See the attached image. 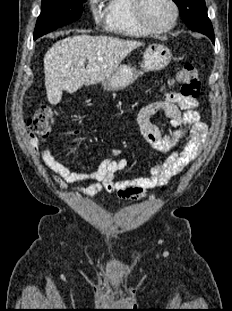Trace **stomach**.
<instances>
[{"label":"stomach","mask_w":232,"mask_h":311,"mask_svg":"<svg viewBox=\"0 0 232 311\" xmlns=\"http://www.w3.org/2000/svg\"><path fill=\"white\" fill-rule=\"evenodd\" d=\"M172 60L170 49L162 44H152L146 48L143 55L142 70L130 65H121L109 78L103 80L104 90L118 91L133 83L143 72L159 71L165 68Z\"/></svg>","instance_id":"obj_1"}]
</instances>
